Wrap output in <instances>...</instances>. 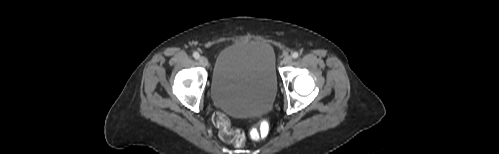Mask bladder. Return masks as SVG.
I'll use <instances>...</instances> for the list:
<instances>
[{"mask_svg": "<svg viewBox=\"0 0 499 154\" xmlns=\"http://www.w3.org/2000/svg\"><path fill=\"white\" fill-rule=\"evenodd\" d=\"M277 91L273 47L262 41L230 44L217 56L210 96L227 113L247 117L265 113Z\"/></svg>", "mask_w": 499, "mask_h": 154, "instance_id": "31cf9c89", "label": "bladder"}]
</instances>
